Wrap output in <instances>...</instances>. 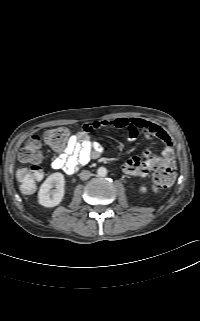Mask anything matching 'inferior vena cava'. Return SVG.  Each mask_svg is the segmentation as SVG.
<instances>
[{
  "label": "inferior vena cava",
  "instance_id": "1",
  "mask_svg": "<svg viewBox=\"0 0 200 321\" xmlns=\"http://www.w3.org/2000/svg\"><path fill=\"white\" fill-rule=\"evenodd\" d=\"M91 175H92L91 172L88 171V170H83V171L79 174L81 180H87V179H89V178L91 177Z\"/></svg>",
  "mask_w": 200,
  "mask_h": 321
}]
</instances>
